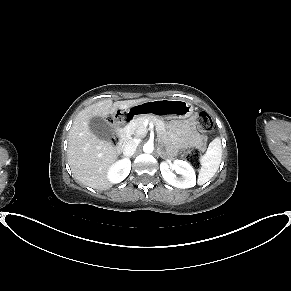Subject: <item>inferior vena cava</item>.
Here are the masks:
<instances>
[{
  "instance_id": "1",
  "label": "inferior vena cava",
  "mask_w": 291,
  "mask_h": 291,
  "mask_svg": "<svg viewBox=\"0 0 291 291\" xmlns=\"http://www.w3.org/2000/svg\"><path fill=\"white\" fill-rule=\"evenodd\" d=\"M137 146H138V141H136L135 139L129 140L123 148L124 156L126 157L133 156V154L135 153L137 149Z\"/></svg>"
}]
</instances>
